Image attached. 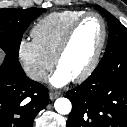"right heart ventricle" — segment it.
I'll list each match as a JSON object with an SVG mask.
<instances>
[{
	"mask_svg": "<svg viewBox=\"0 0 127 127\" xmlns=\"http://www.w3.org/2000/svg\"><path fill=\"white\" fill-rule=\"evenodd\" d=\"M84 13L81 10H65L44 16L31 30L33 41L45 55L53 59L68 28Z\"/></svg>",
	"mask_w": 127,
	"mask_h": 127,
	"instance_id": "right-heart-ventricle-1",
	"label": "right heart ventricle"
}]
</instances>
